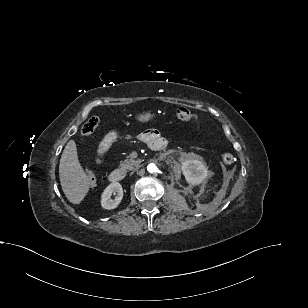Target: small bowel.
Instances as JSON below:
<instances>
[{"label": "small bowel", "mask_w": 308, "mask_h": 308, "mask_svg": "<svg viewBox=\"0 0 308 308\" xmlns=\"http://www.w3.org/2000/svg\"><path fill=\"white\" fill-rule=\"evenodd\" d=\"M117 138L116 132H110L99 143L97 148V160L101 162L105 153ZM139 139L147 144H151L155 139H162L159 132L155 129H148L139 134ZM163 140V139H162Z\"/></svg>", "instance_id": "obj_1"}]
</instances>
